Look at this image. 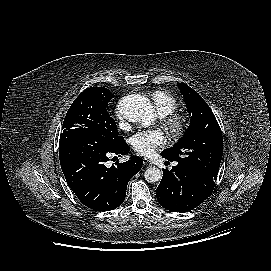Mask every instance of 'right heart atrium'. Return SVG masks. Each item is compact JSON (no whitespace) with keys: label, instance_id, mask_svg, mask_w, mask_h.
<instances>
[{"label":"right heart atrium","instance_id":"d8ad5b80","mask_svg":"<svg viewBox=\"0 0 271 271\" xmlns=\"http://www.w3.org/2000/svg\"><path fill=\"white\" fill-rule=\"evenodd\" d=\"M117 115H118L120 118L123 117L122 112L119 111V110H117Z\"/></svg>","mask_w":271,"mask_h":271}]
</instances>
